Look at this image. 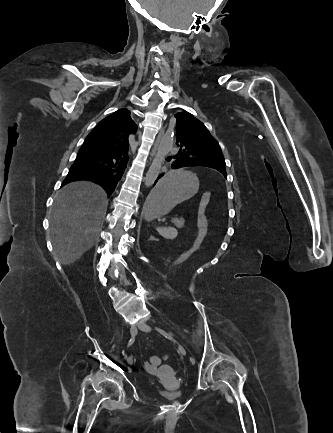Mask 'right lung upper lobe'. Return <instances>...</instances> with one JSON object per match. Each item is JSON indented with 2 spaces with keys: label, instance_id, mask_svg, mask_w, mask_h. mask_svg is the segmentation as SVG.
<instances>
[{
  "label": "right lung upper lobe",
  "instance_id": "1",
  "mask_svg": "<svg viewBox=\"0 0 333 433\" xmlns=\"http://www.w3.org/2000/svg\"><path fill=\"white\" fill-rule=\"evenodd\" d=\"M137 125L130 117V111L119 109L101 120L88 135L95 150L104 153L128 149L130 134H135ZM87 137V138H88Z\"/></svg>",
  "mask_w": 333,
  "mask_h": 433
}]
</instances>
